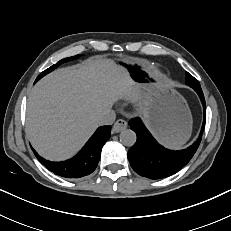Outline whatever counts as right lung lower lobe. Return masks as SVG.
<instances>
[{
  "label": "right lung lower lobe",
  "mask_w": 231,
  "mask_h": 231,
  "mask_svg": "<svg viewBox=\"0 0 231 231\" xmlns=\"http://www.w3.org/2000/svg\"><path fill=\"white\" fill-rule=\"evenodd\" d=\"M110 132V126L99 127L76 156L62 162L48 161L33 151L37 159L54 174L65 178H80L89 175L97 167L101 149L110 138Z\"/></svg>",
  "instance_id": "1"
}]
</instances>
